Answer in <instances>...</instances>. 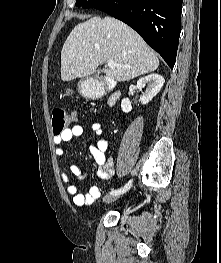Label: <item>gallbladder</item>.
<instances>
[{"mask_svg": "<svg viewBox=\"0 0 221 263\" xmlns=\"http://www.w3.org/2000/svg\"><path fill=\"white\" fill-rule=\"evenodd\" d=\"M101 73H102V70L98 69V70L95 72V77H98Z\"/></svg>", "mask_w": 221, "mask_h": 263, "instance_id": "1", "label": "gallbladder"}]
</instances>
